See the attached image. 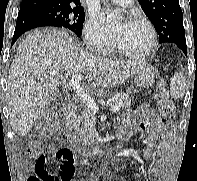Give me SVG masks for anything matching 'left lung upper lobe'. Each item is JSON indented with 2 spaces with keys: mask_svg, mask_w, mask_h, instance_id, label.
Wrapping results in <instances>:
<instances>
[{
  "mask_svg": "<svg viewBox=\"0 0 197 181\" xmlns=\"http://www.w3.org/2000/svg\"><path fill=\"white\" fill-rule=\"evenodd\" d=\"M153 23L160 42L186 43L183 13L178 0H138Z\"/></svg>",
  "mask_w": 197,
  "mask_h": 181,
  "instance_id": "obj_1",
  "label": "left lung upper lobe"
}]
</instances>
